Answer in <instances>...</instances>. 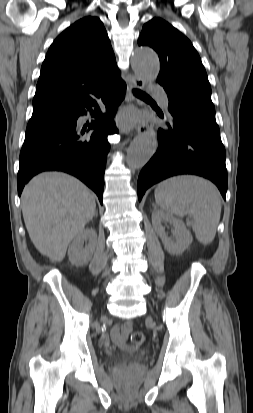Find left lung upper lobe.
<instances>
[{
	"label": "left lung upper lobe",
	"mask_w": 253,
	"mask_h": 413,
	"mask_svg": "<svg viewBox=\"0 0 253 413\" xmlns=\"http://www.w3.org/2000/svg\"><path fill=\"white\" fill-rule=\"evenodd\" d=\"M138 44L158 53L161 67L156 83L166 93L215 109L205 68L187 37L163 19L153 18L143 26Z\"/></svg>",
	"instance_id": "left-lung-upper-lobe-1"
}]
</instances>
